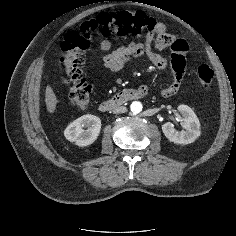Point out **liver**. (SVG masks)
Segmentation results:
<instances>
[{
	"mask_svg": "<svg viewBox=\"0 0 236 236\" xmlns=\"http://www.w3.org/2000/svg\"><path fill=\"white\" fill-rule=\"evenodd\" d=\"M45 102H46L47 111L49 113H54L56 109V105L58 103V99L53 89L49 85H47L46 91H45Z\"/></svg>",
	"mask_w": 236,
	"mask_h": 236,
	"instance_id": "6515ba94",
	"label": "liver"
}]
</instances>
